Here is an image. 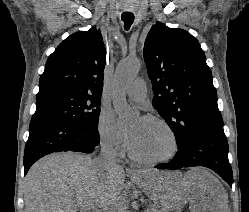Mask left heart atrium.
Wrapping results in <instances>:
<instances>
[{
  "instance_id": "1",
  "label": "left heart atrium",
  "mask_w": 249,
  "mask_h": 212,
  "mask_svg": "<svg viewBox=\"0 0 249 212\" xmlns=\"http://www.w3.org/2000/svg\"><path fill=\"white\" fill-rule=\"evenodd\" d=\"M127 138H128V143H129L130 147H132L134 145L135 141H136V135H135V133L129 132Z\"/></svg>"
}]
</instances>
